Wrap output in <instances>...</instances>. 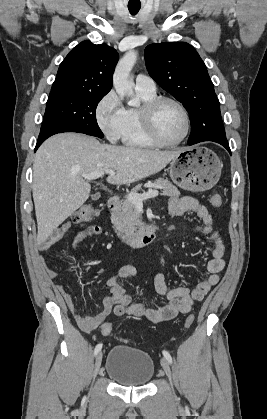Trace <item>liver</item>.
<instances>
[{
  "label": "liver",
  "instance_id": "obj_1",
  "mask_svg": "<svg viewBox=\"0 0 267 419\" xmlns=\"http://www.w3.org/2000/svg\"><path fill=\"white\" fill-rule=\"evenodd\" d=\"M183 149L158 151L101 144L78 133H61L37 150L33 164V199L37 242L44 243L89 198L91 185L81 175L114 170L110 184H130L165 168Z\"/></svg>",
  "mask_w": 267,
  "mask_h": 419
}]
</instances>
